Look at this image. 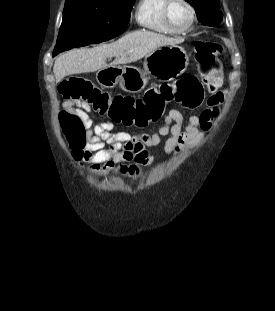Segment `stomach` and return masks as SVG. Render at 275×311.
Here are the masks:
<instances>
[{
    "label": "stomach",
    "instance_id": "stomach-1",
    "mask_svg": "<svg viewBox=\"0 0 275 311\" xmlns=\"http://www.w3.org/2000/svg\"><path fill=\"white\" fill-rule=\"evenodd\" d=\"M189 55L179 45L161 46L149 53L143 63V71L133 66H109L98 70V83L107 88L116 85L129 93L140 92L150 76L162 81H171L187 69Z\"/></svg>",
    "mask_w": 275,
    "mask_h": 311
}]
</instances>
